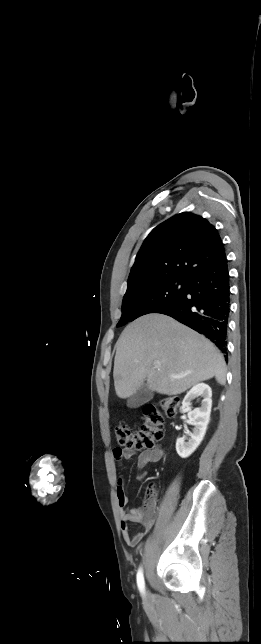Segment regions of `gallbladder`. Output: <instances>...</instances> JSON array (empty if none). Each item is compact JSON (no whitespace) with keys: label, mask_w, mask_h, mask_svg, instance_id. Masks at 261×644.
Returning a JSON list of instances; mask_svg holds the SVG:
<instances>
[{"label":"gallbladder","mask_w":261,"mask_h":644,"mask_svg":"<svg viewBox=\"0 0 261 644\" xmlns=\"http://www.w3.org/2000/svg\"><path fill=\"white\" fill-rule=\"evenodd\" d=\"M153 395V391L144 384L127 400V406L132 409L138 408L150 401Z\"/></svg>","instance_id":"1"}]
</instances>
